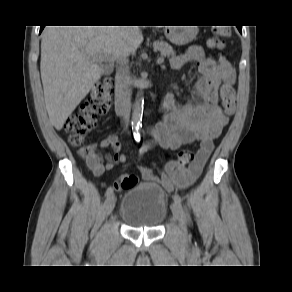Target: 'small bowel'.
I'll use <instances>...</instances> for the list:
<instances>
[{
  "instance_id": "1",
  "label": "small bowel",
  "mask_w": 292,
  "mask_h": 292,
  "mask_svg": "<svg viewBox=\"0 0 292 292\" xmlns=\"http://www.w3.org/2000/svg\"><path fill=\"white\" fill-rule=\"evenodd\" d=\"M188 63H194L199 73L189 89V99L179 103L174 94L166 96L167 114L162 121L148 128L150 139L139 149V157L153 147L176 150L181 146L200 142V149L195 160L183 166L175 160L166 163L163 171L156 173L147 167H140L144 181L159 183L167 192L185 189L200 176L203 167L214 148L217 139L228 119L219 106L218 89L222 84L233 85L236 80L234 65L226 57L218 59L206 57L200 46H192L185 53L173 58L171 66L179 70ZM99 148H111L112 153L105 156L97 148L92 149L86 161L95 176H102L117 164L126 162L121 153V144L115 134H110L99 143ZM119 189V183L115 184Z\"/></svg>"
}]
</instances>
